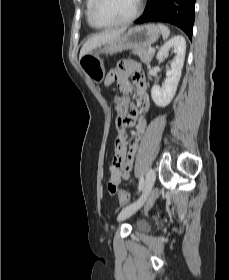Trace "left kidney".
<instances>
[{"label":"left kidney","instance_id":"left-kidney-1","mask_svg":"<svg viewBox=\"0 0 229 280\" xmlns=\"http://www.w3.org/2000/svg\"><path fill=\"white\" fill-rule=\"evenodd\" d=\"M170 50L175 53V58L170 64V69L166 71L164 83L162 87L154 85L151 89V97L159 107L167 106L176 93L186 52V41L184 37L178 35L165 43L157 53V60L162 62Z\"/></svg>","mask_w":229,"mask_h":280}]
</instances>
